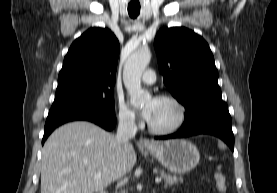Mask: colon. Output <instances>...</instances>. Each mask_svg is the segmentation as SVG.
Returning a JSON list of instances; mask_svg holds the SVG:
<instances>
[{
    "instance_id": "obj_1",
    "label": "colon",
    "mask_w": 277,
    "mask_h": 193,
    "mask_svg": "<svg viewBox=\"0 0 277 193\" xmlns=\"http://www.w3.org/2000/svg\"><path fill=\"white\" fill-rule=\"evenodd\" d=\"M214 183H215V187L216 189L220 192V193H226L227 191V181H226V177L224 174L217 172L214 174Z\"/></svg>"
}]
</instances>
